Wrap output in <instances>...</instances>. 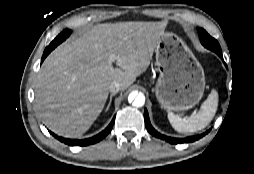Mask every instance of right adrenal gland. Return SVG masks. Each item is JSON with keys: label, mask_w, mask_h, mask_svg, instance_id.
<instances>
[{"label": "right adrenal gland", "mask_w": 254, "mask_h": 174, "mask_svg": "<svg viewBox=\"0 0 254 174\" xmlns=\"http://www.w3.org/2000/svg\"><path fill=\"white\" fill-rule=\"evenodd\" d=\"M114 95H115V93H111L110 99H109V103H108V105H107L105 111H108V109H109V107H110V105H111V102H112V97H113Z\"/></svg>", "instance_id": "obj_1"}]
</instances>
